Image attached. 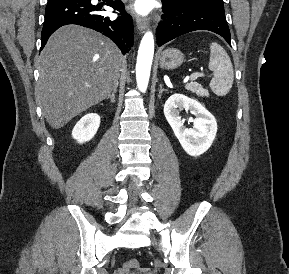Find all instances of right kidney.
<instances>
[{
  "label": "right kidney",
  "mask_w": 289,
  "mask_h": 274,
  "mask_svg": "<svg viewBox=\"0 0 289 274\" xmlns=\"http://www.w3.org/2000/svg\"><path fill=\"white\" fill-rule=\"evenodd\" d=\"M100 125V116L96 113L84 115L74 126L72 137L78 143L90 141L96 134Z\"/></svg>",
  "instance_id": "right-kidney-1"
}]
</instances>
